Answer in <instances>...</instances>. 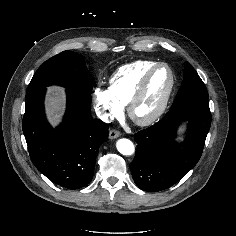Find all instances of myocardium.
I'll return each mask as SVG.
<instances>
[{"label":"myocardium","instance_id":"1","mask_svg":"<svg viewBox=\"0 0 236 236\" xmlns=\"http://www.w3.org/2000/svg\"><path fill=\"white\" fill-rule=\"evenodd\" d=\"M160 68H166L169 72V75H170V81H169V85L167 87V90L165 92V95H164L161 103L157 107V109L150 116H148L146 118H136L134 116V109H135L136 105L139 103V101L141 100V98L143 97L152 75ZM174 86H175V74H174L172 68L166 63H156L150 69H148L147 72L143 75L137 88L135 89L134 93L132 94L128 103L126 104L128 116L131 118V120H133L139 126L152 125L157 120H159L160 117L165 112V110L169 104L170 98L172 96Z\"/></svg>","mask_w":236,"mask_h":236}]
</instances>
